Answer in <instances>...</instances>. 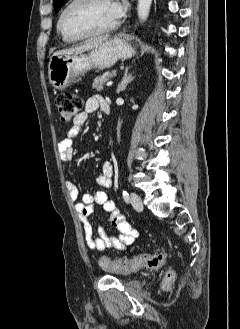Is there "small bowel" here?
Returning <instances> with one entry per match:
<instances>
[{"instance_id": "c3829d8e", "label": "small bowel", "mask_w": 240, "mask_h": 329, "mask_svg": "<svg viewBox=\"0 0 240 329\" xmlns=\"http://www.w3.org/2000/svg\"><path fill=\"white\" fill-rule=\"evenodd\" d=\"M104 100L99 95L92 96L85 104L84 111L80 113L68 129L66 138L58 144V151L61 159L65 163L73 162L75 150L73 148V139L80 133L86 125L88 118L97 109L102 110ZM114 167L110 162L102 164L100 172L96 176V183L104 188L112 186V177ZM70 199L74 202L75 209L83 226L84 238L87 246L92 250L102 251L104 249L125 250L127 246L134 243L138 237V231L131 226L126 216L121 213L113 200H110L104 191L95 193H85L81 201H78V190L70 182L66 184ZM102 209L109 214V222L117 233L107 231L102 225L97 228V234H94L93 227L89 221L95 207Z\"/></svg>"}]
</instances>
